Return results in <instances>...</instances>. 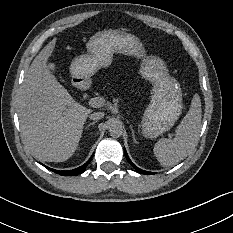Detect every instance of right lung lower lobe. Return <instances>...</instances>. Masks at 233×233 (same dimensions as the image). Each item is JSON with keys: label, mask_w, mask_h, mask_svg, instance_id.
Here are the masks:
<instances>
[{"label": "right lung lower lobe", "mask_w": 233, "mask_h": 233, "mask_svg": "<svg viewBox=\"0 0 233 233\" xmlns=\"http://www.w3.org/2000/svg\"><path fill=\"white\" fill-rule=\"evenodd\" d=\"M91 159H92V157L84 165H82V166H80V167H78V168H76L74 170H69V171H59V170L51 169V168H49L47 166H45V167L48 168L49 170L55 172V173L63 175V176H73V175H77V174L82 173L85 170L86 166L91 161Z\"/></svg>", "instance_id": "obj_1"}]
</instances>
